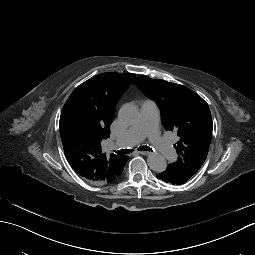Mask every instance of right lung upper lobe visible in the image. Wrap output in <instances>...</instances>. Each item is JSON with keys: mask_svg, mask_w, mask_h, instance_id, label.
<instances>
[{"mask_svg": "<svg viewBox=\"0 0 255 255\" xmlns=\"http://www.w3.org/2000/svg\"><path fill=\"white\" fill-rule=\"evenodd\" d=\"M134 77L129 73L98 74L80 84L62 109L59 130L66 159L93 184L112 183L128 160L127 156H106L101 142L109 137L117 102Z\"/></svg>", "mask_w": 255, "mask_h": 255, "instance_id": "cb5924a9", "label": "right lung upper lobe"}]
</instances>
